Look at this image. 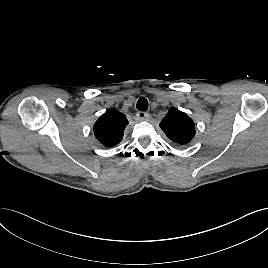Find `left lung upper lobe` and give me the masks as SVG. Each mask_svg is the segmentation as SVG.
I'll return each instance as SVG.
<instances>
[{
	"label": "left lung upper lobe",
	"instance_id": "1",
	"mask_svg": "<svg viewBox=\"0 0 268 268\" xmlns=\"http://www.w3.org/2000/svg\"><path fill=\"white\" fill-rule=\"evenodd\" d=\"M160 128L177 145H186L195 136V125L192 119L175 108L169 110L161 121Z\"/></svg>",
	"mask_w": 268,
	"mask_h": 268
}]
</instances>
